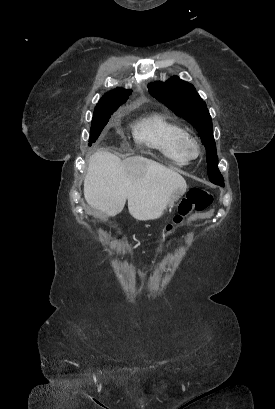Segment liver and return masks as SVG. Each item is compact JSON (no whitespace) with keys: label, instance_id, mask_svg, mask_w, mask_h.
<instances>
[{"label":"liver","instance_id":"6515ba94","mask_svg":"<svg viewBox=\"0 0 275 409\" xmlns=\"http://www.w3.org/2000/svg\"><path fill=\"white\" fill-rule=\"evenodd\" d=\"M178 188L183 194L186 180L172 168L145 156L121 160L105 150L91 154L84 178L85 200L102 217H115L128 200L129 213L138 221L158 219Z\"/></svg>","mask_w":275,"mask_h":409}]
</instances>
